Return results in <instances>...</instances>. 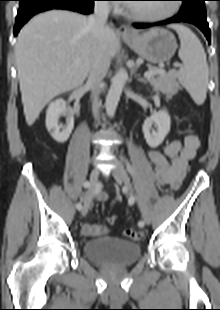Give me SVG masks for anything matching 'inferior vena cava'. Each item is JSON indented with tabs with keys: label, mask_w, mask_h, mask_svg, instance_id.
Listing matches in <instances>:
<instances>
[{
	"label": "inferior vena cava",
	"mask_w": 220,
	"mask_h": 310,
	"mask_svg": "<svg viewBox=\"0 0 220 310\" xmlns=\"http://www.w3.org/2000/svg\"><path fill=\"white\" fill-rule=\"evenodd\" d=\"M110 12L109 4L105 1H95L94 12L88 17V25L93 36L91 63L88 84L92 91V110L95 119L99 117V87L110 66L107 50L106 21Z\"/></svg>",
	"instance_id": "obj_1"
}]
</instances>
